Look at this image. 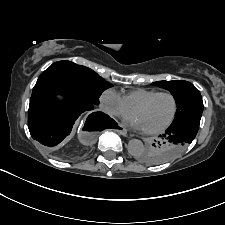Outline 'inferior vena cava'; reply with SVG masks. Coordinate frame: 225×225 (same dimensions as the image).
<instances>
[{
	"label": "inferior vena cava",
	"instance_id": "602c4592",
	"mask_svg": "<svg viewBox=\"0 0 225 225\" xmlns=\"http://www.w3.org/2000/svg\"><path fill=\"white\" fill-rule=\"evenodd\" d=\"M100 109H101L103 112H106V113H108V114H111L110 109H109L108 107H106V106L101 105V106H100Z\"/></svg>",
	"mask_w": 225,
	"mask_h": 225
}]
</instances>
